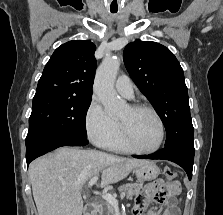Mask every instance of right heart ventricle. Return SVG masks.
I'll use <instances>...</instances> for the list:
<instances>
[{
    "label": "right heart ventricle",
    "instance_id": "1",
    "mask_svg": "<svg viewBox=\"0 0 223 215\" xmlns=\"http://www.w3.org/2000/svg\"><path fill=\"white\" fill-rule=\"evenodd\" d=\"M103 147L114 152L127 153L128 150L120 140L119 130L115 132L104 144Z\"/></svg>",
    "mask_w": 223,
    "mask_h": 215
}]
</instances>
